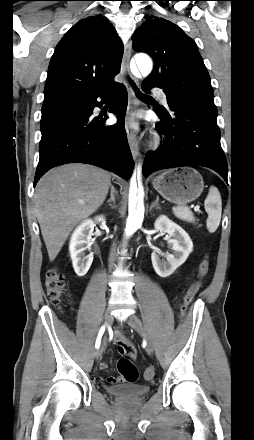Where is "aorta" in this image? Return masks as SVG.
<instances>
[{"label": "aorta", "instance_id": "1", "mask_svg": "<svg viewBox=\"0 0 254 440\" xmlns=\"http://www.w3.org/2000/svg\"><path fill=\"white\" fill-rule=\"evenodd\" d=\"M135 61L140 73L143 76H148L153 68L152 60L146 54H137ZM142 169L137 170L133 175L130 185L129 203H128V218L124 232L125 239L132 236L142 225L144 219V189L141 181Z\"/></svg>", "mask_w": 254, "mask_h": 440}]
</instances>
